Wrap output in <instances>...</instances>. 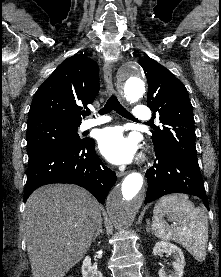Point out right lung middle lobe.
<instances>
[{
	"label": "right lung middle lobe",
	"mask_w": 221,
	"mask_h": 277,
	"mask_svg": "<svg viewBox=\"0 0 221 277\" xmlns=\"http://www.w3.org/2000/svg\"><path fill=\"white\" fill-rule=\"evenodd\" d=\"M79 125L47 122L28 125L27 153L29 159L50 151L64 149L81 143L77 130Z\"/></svg>",
	"instance_id": "obj_1"
}]
</instances>
